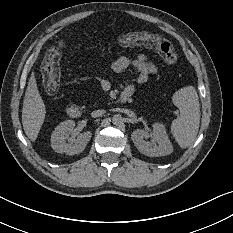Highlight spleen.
<instances>
[{"instance_id":"3e777b00","label":"spleen","mask_w":233,"mask_h":233,"mask_svg":"<svg viewBox=\"0 0 233 233\" xmlns=\"http://www.w3.org/2000/svg\"><path fill=\"white\" fill-rule=\"evenodd\" d=\"M174 103L181 114L178 119L172 121V134L181 147L192 146L200 125V106L196 89L193 86L181 88Z\"/></svg>"}]
</instances>
